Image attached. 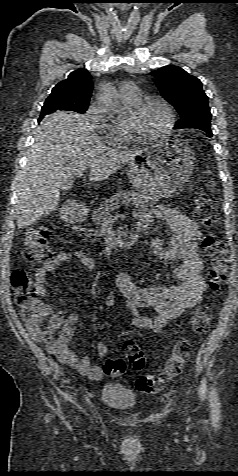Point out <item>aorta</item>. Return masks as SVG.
<instances>
[{"instance_id":"aorta-1","label":"aorta","mask_w":238,"mask_h":476,"mask_svg":"<svg viewBox=\"0 0 238 476\" xmlns=\"http://www.w3.org/2000/svg\"><path fill=\"white\" fill-rule=\"evenodd\" d=\"M99 103L102 110L111 117L118 115L122 110L117 91L110 84L106 85L99 98Z\"/></svg>"}]
</instances>
